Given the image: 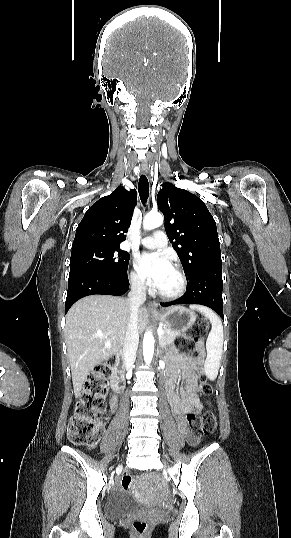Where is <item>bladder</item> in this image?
I'll use <instances>...</instances> for the list:
<instances>
[{
    "instance_id": "31cf9c89",
    "label": "bladder",
    "mask_w": 291,
    "mask_h": 538,
    "mask_svg": "<svg viewBox=\"0 0 291 538\" xmlns=\"http://www.w3.org/2000/svg\"><path fill=\"white\" fill-rule=\"evenodd\" d=\"M109 519H118L131 512L140 511L143 507L125 496L115 495L109 498L105 505Z\"/></svg>"
}]
</instances>
